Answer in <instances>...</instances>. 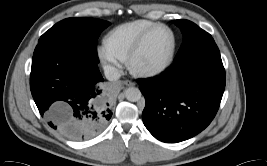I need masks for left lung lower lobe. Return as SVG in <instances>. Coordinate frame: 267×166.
<instances>
[{"instance_id":"obj_1","label":"left lung lower lobe","mask_w":267,"mask_h":166,"mask_svg":"<svg viewBox=\"0 0 267 166\" xmlns=\"http://www.w3.org/2000/svg\"><path fill=\"white\" fill-rule=\"evenodd\" d=\"M146 100L145 127L158 140L177 143L203 131L215 117L225 70L215 43L175 60L160 77L139 81Z\"/></svg>"}]
</instances>
